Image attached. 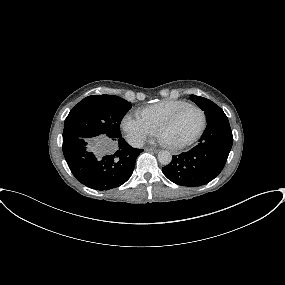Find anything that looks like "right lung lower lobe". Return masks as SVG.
I'll use <instances>...</instances> for the list:
<instances>
[{"instance_id": "1", "label": "right lung lower lobe", "mask_w": 285, "mask_h": 285, "mask_svg": "<svg viewBox=\"0 0 285 285\" xmlns=\"http://www.w3.org/2000/svg\"><path fill=\"white\" fill-rule=\"evenodd\" d=\"M118 149L106 154L102 142L77 138L63 142V154L75 178L85 186L103 191L116 188L132 175L137 156L143 151L131 147L123 138L115 139Z\"/></svg>"}]
</instances>
